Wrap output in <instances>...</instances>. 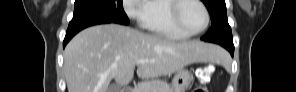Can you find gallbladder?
I'll list each match as a JSON object with an SVG mask.
<instances>
[{
  "label": "gallbladder",
  "mask_w": 296,
  "mask_h": 92,
  "mask_svg": "<svg viewBox=\"0 0 296 92\" xmlns=\"http://www.w3.org/2000/svg\"><path fill=\"white\" fill-rule=\"evenodd\" d=\"M121 87L119 85L113 84L108 87L107 92H120Z\"/></svg>",
  "instance_id": "bac80fb5"
}]
</instances>
